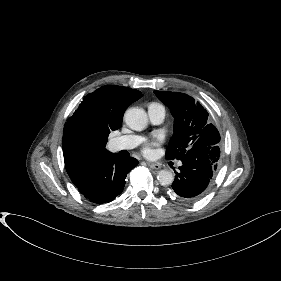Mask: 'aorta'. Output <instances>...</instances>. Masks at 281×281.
I'll return each mask as SVG.
<instances>
[{"label":"aorta","mask_w":281,"mask_h":281,"mask_svg":"<svg viewBox=\"0 0 281 281\" xmlns=\"http://www.w3.org/2000/svg\"><path fill=\"white\" fill-rule=\"evenodd\" d=\"M125 123L133 130L141 131L148 123L146 112L141 108H130L124 114ZM159 183L163 186L172 184L174 180L173 173L169 170H161L157 175Z\"/></svg>","instance_id":"1"}]
</instances>
